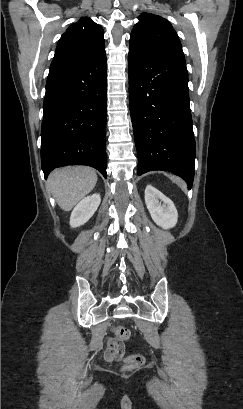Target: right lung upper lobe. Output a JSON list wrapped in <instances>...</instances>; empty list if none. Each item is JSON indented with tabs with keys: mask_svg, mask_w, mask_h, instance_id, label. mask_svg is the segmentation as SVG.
<instances>
[{
	"mask_svg": "<svg viewBox=\"0 0 243 409\" xmlns=\"http://www.w3.org/2000/svg\"><path fill=\"white\" fill-rule=\"evenodd\" d=\"M104 49L102 27L89 18H82L60 38L50 70L86 61Z\"/></svg>",
	"mask_w": 243,
	"mask_h": 409,
	"instance_id": "1",
	"label": "right lung upper lobe"
}]
</instances>
